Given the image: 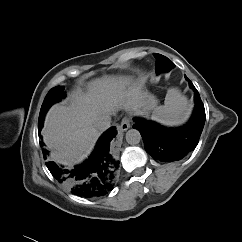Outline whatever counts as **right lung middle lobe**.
Wrapping results in <instances>:
<instances>
[{
	"instance_id": "right-lung-middle-lobe-1",
	"label": "right lung middle lobe",
	"mask_w": 242,
	"mask_h": 242,
	"mask_svg": "<svg viewBox=\"0 0 242 242\" xmlns=\"http://www.w3.org/2000/svg\"><path fill=\"white\" fill-rule=\"evenodd\" d=\"M64 86H57L52 88L49 93L46 95L44 102L42 104L40 115H39V123L44 120V116L50 106L58 101H60L64 97Z\"/></svg>"
}]
</instances>
